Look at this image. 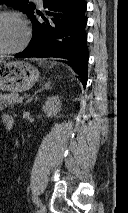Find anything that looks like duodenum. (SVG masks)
I'll use <instances>...</instances> for the list:
<instances>
[{
	"instance_id": "1",
	"label": "duodenum",
	"mask_w": 128,
	"mask_h": 213,
	"mask_svg": "<svg viewBox=\"0 0 128 213\" xmlns=\"http://www.w3.org/2000/svg\"><path fill=\"white\" fill-rule=\"evenodd\" d=\"M4 122H5V125H6V128L8 130H10L13 126V119L9 116H7L5 119H4Z\"/></svg>"
}]
</instances>
